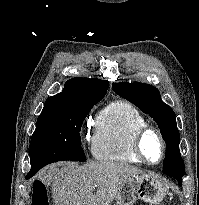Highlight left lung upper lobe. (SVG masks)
<instances>
[{
	"instance_id": "left-lung-upper-lobe-1",
	"label": "left lung upper lobe",
	"mask_w": 199,
	"mask_h": 205,
	"mask_svg": "<svg viewBox=\"0 0 199 205\" xmlns=\"http://www.w3.org/2000/svg\"><path fill=\"white\" fill-rule=\"evenodd\" d=\"M112 88L115 93L135 104L157 122L166 143L163 173L174 177L181 185L185 167L179 150L180 135L172 108L162 101L160 92L152 85L120 82L112 83Z\"/></svg>"
}]
</instances>
